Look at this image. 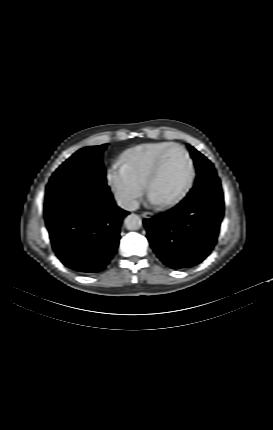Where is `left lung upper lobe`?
Masks as SVG:
<instances>
[{
  "instance_id": "5c2ea615",
  "label": "left lung upper lobe",
  "mask_w": 273,
  "mask_h": 430,
  "mask_svg": "<svg viewBox=\"0 0 273 430\" xmlns=\"http://www.w3.org/2000/svg\"><path fill=\"white\" fill-rule=\"evenodd\" d=\"M188 147L197 169V179L195 184L199 183L204 176H216L217 174L213 164L192 146L188 145Z\"/></svg>"
}]
</instances>
